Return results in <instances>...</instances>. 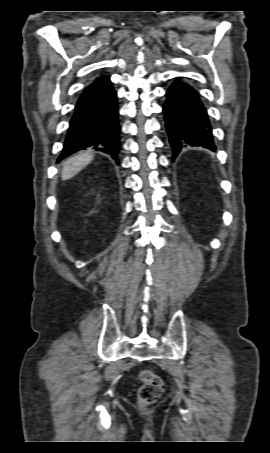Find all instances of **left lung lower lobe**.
<instances>
[{
    "label": "left lung lower lobe",
    "mask_w": 270,
    "mask_h": 453,
    "mask_svg": "<svg viewBox=\"0 0 270 453\" xmlns=\"http://www.w3.org/2000/svg\"><path fill=\"white\" fill-rule=\"evenodd\" d=\"M166 94L163 112L173 159L188 145L215 151L211 123L199 93L187 83L175 81Z\"/></svg>",
    "instance_id": "1"
}]
</instances>
